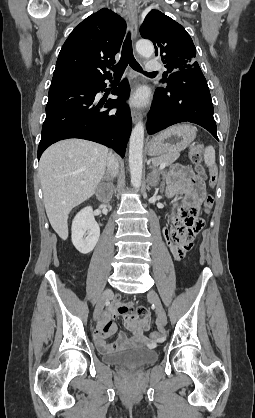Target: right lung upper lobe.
<instances>
[{"label":"right lung upper lobe","instance_id":"1","mask_svg":"<svg viewBox=\"0 0 255 418\" xmlns=\"http://www.w3.org/2000/svg\"><path fill=\"white\" fill-rule=\"evenodd\" d=\"M125 30L124 19L107 8L87 17L63 44L51 86L111 78L105 67L115 63Z\"/></svg>","mask_w":255,"mask_h":418}]
</instances>
